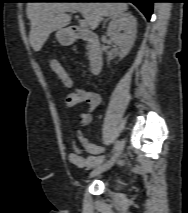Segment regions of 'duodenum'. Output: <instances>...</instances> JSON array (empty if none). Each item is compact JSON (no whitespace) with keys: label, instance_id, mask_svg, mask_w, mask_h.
Here are the masks:
<instances>
[{"label":"duodenum","instance_id":"duodenum-1","mask_svg":"<svg viewBox=\"0 0 188 213\" xmlns=\"http://www.w3.org/2000/svg\"><path fill=\"white\" fill-rule=\"evenodd\" d=\"M70 32V42L74 43L78 40H83L90 44L89 69L92 74H98L104 61V51L99 37L95 33L77 26H73Z\"/></svg>","mask_w":188,"mask_h":213}]
</instances>
